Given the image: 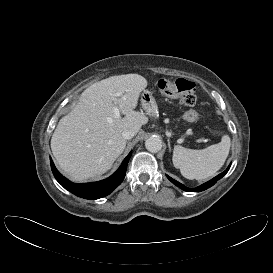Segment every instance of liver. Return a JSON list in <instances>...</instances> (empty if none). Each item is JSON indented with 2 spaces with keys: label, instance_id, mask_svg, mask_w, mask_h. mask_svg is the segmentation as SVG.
I'll return each mask as SVG.
<instances>
[{
  "label": "liver",
  "instance_id": "1",
  "mask_svg": "<svg viewBox=\"0 0 273 273\" xmlns=\"http://www.w3.org/2000/svg\"><path fill=\"white\" fill-rule=\"evenodd\" d=\"M147 80L138 74L106 78L88 87L76 106L62 117L52 135L51 150L59 167L74 181L108 171L122 154L125 130L138 133L147 119L135 111ZM117 94H120L117 96ZM125 115L117 118L114 108Z\"/></svg>",
  "mask_w": 273,
  "mask_h": 273
}]
</instances>
